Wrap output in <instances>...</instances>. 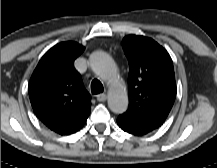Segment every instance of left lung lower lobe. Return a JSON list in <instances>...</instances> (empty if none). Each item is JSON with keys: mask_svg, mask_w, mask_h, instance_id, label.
<instances>
[{"mask_svg": "<svg viewBox=\"0 0 217 168\" xmlns=\"http://www.w3.org/2000/svg\"><path fill=\"white\" fill-rule=\"evenodd\" d=\"M117 124L125 132H128L130 134H134V135H138V136L145 135V134L153 131L150 129H144V128L135 126V125L127 122L126 120H124L120 116L117 118Z\"/></svg>", "mask_w": 217, "mask_h": 168, "instance_id": "1", "label": "left lung lower lobe"}]
</instances>
